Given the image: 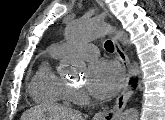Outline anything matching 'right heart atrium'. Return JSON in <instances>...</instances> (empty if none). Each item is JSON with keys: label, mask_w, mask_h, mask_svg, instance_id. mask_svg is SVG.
<instances>
[{"label": "right heart atrium", "mask_w": 165, "mask_h": 120, "mask_svg": "<svg viewBox=\"0 0 165 120\" xmlns=\"http://www.w3.org/2000/svg\"><path fill=\"white\" fill-rule=\"evenodd\" d=\"M72 99L75 101H82L85 99V92L80 87L72 88Z\"/></svg>", "instance_id": "obj_1"}]
</instances>
